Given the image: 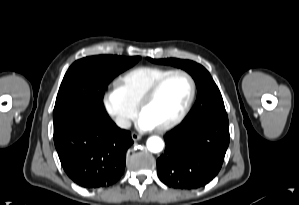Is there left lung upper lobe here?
<instances>
[{"instance_id": "5c2ea615", "label": "left lung upper lobe", "mask_w": 299, "mask_h": 205, "mask_svg": "<svg viewBox=\"0 0 299 205\" xmlns=\"http://www.w3.org/2000/svg\"><path fill=\"white\" fill-rule=\"evenodd\" d=\"M153 63L173 65L186 70L195 80L198 89L196 103L187 118L195 119L216 109H225L221 93L209 72L200 64L176 58L152 59Z\"/></svg>"}]
</instances>
